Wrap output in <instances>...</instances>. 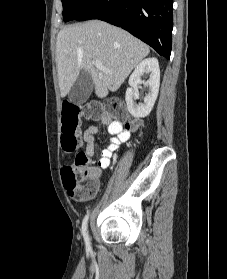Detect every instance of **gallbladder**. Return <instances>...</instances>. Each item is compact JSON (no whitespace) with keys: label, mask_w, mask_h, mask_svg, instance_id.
Instances as JSON below:
<instances>
[{"label":"gallbladder","mask_w":227,"mask_h":279,"mask_svg":"<svg viewBox=\"0 0 227 279\" xmlns=\"http://www.w3.org/2000/svg\"><path fill=\"white\" fill-rule=\"evenodd\" d=\"M93 90V80L91 75L83 71L79 74L75 83L71 87L68 99L72 104L81 105L87 101Z\"/></svg>","instance_id":"1"}]
</instances>
